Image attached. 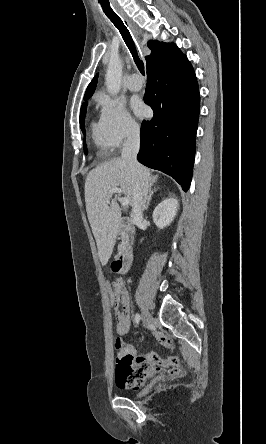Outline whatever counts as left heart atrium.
I'll return each instance as SVG.
<instances>
[{"label": "left heart atrium", "instance_id": "39dd6f15", "mask_svg": "<svg viewBox=\"0 0 266 444\" xmlns=\"http://www.w3.org/2000/svg\"><path fill=\"white\" fill-rule=\"evenodd\" d=\"M132 109L138 116H144L146 113L145 105L138 100L132 102Z\"/></svg>", "mask_w": 266, "mask_h": 444}]
</instances>
